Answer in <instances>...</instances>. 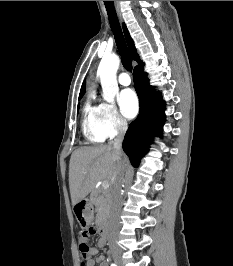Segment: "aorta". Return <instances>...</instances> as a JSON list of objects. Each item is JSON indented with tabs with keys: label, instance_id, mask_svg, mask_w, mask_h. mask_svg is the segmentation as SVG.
<instances>
[{
	"label": "aorta",
	"instance_id": "aorta-1",
	"mask_svg": "<svg viewBox=\"0 0 233 266\" xmlns=\"http://www.w3.org/2000/svg\"><path fill=\"white\" fill-rule=\"evenodd\" d=\"M119 65L120 59L117 55L105 56L102 58L97 70L103 90V98L109 103L114 102L119 90L116 78Z\"/></svg>",
	"mask_w": 233,
	"mask_h": 266
}]
</instances>
